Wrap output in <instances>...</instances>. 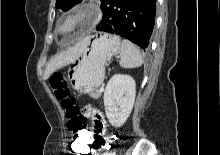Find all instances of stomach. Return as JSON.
<instances>
[{
    "label": "stomach",
    "instance_id": "obj_1",
    "mask_svg": "<svg viewBox=\"0 0 220 155\" xmlns=\"http://www.w3.org/2000/svg\"><path fill=\"white\" fill-rule=\"evenodd\" d=\"M86 40L82 54L69 67L68 79L76 92L91 96L104 80L105 65L119 53L120 38L117 35L101 34Z\"/></svg>",
    "mask_w": 220,
    "mask_h": 155
}]
</instances>
